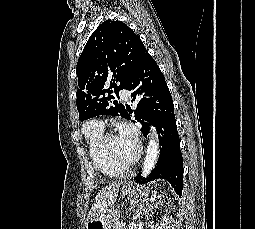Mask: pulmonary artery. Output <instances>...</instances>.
<instances>
[{"mask_svg":"<svg viewBox=\"0 0 255 229\" xmlns=\"http://www.w3.org/2000/svg\"><path fill=\"white\" fill-rule=\"evenodd\" d=\"M120 95H121L122 99L125 100V101H127L128 98H129V93H128V91L125 90V89H123V90L120 91ZM91 124H92L93 126H97V127H100V128H103V127H104L103 122L98 121V120H92V121H91Z\"/></svg>","mask_w":255,"mask_h":229,"instance_id":"pulmonary-artery-1","label":"pulmonary artery"}]
</instances>
